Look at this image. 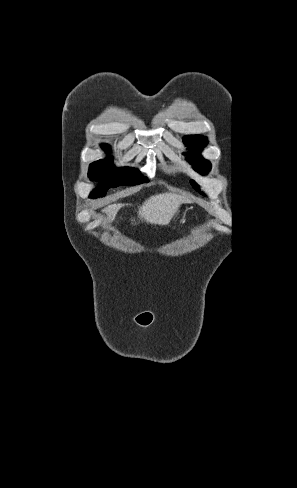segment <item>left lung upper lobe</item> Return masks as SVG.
Here are the masks:
<instances>
[{"label":"left lung upper lobe","instance_id":"1","mask_svg":"<svg viewBox=\"0 0 297 488\" xmlns=\"http://www.w3.org/2000/svg\"><path fill=\"white\" fill-rule=\"evenodd\" d=\"M183 142L191 150V153L186 155H188L187 160L193 164L194 170L201 174L208 173L211 169V163L200 155H196V153L200 152L207 144V138L201 135H187L183 138ZM190 182L192 186L199 191V186L193 180Z\"/></svg>","mask_w":297,"mask_h":488}]
</instances>
